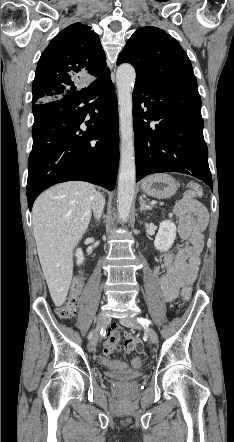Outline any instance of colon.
Wrapping results in <instances>:
<instances>
[{"mask_svg": "<svg viewBox=\"0 0 234 442\" xmlns=\"http://www.w3.org/2000/svg\"><path fill=\"white\" fill-rule=\"evenodd\" d=\"M188 190L197 195L201 196L203 193L202 186L197 182H190L187 185ZM84 285V275L79 274L73 281L70 294L64 304L59 306L56 309L57 315L62 319H69L73 317L76 313V309L79 302V295L83 289ZM191 287L185 286L182 291V297L184 300H189L191 297ZM133 342V341H132ZM141 342V341H140ZM136 351V350H134ZM97 360H99L102 364L108 366L113 370L115 373H123L127 372L129 370V363L125 360L116 359L114 357V351L106 349L103 352H99L96 355ZM133 365L132 368L135 371H138L141 369L143 362L141 357L136 356L132 359Z\"/></svg>", "mask_w": 234, "mask_h": 442, "instance_id": "obj_1", "label": "colon"}]
</instances>
